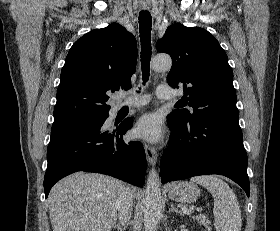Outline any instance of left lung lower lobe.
Here are the masks:
<instances>
[{"label":"left lung lower lobe","instance_id":"1","mask_svg":"<svg viewBox=\"0 0 280 231\" xmlns=\"http://www.w3.org/2000/svg\"><path fill=\"white\" fill-rule=\"evenodd\" d=\"M167 123L173 133L160 162L162 183L219 174L239 184L249 197L248 159L239 119H199L183 124L169 114Z\"/></svg>","mask_w":280,"mask_h":231}]
</instances>
